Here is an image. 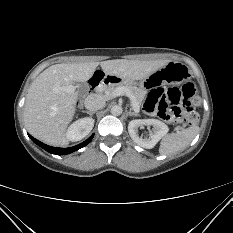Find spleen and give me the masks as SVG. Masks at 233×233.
Listing matches in <instances>:
<instances>
[{
  "instance_id": "obj_1",
  "label": "spleen",
  "mask_w": 233,
  "mask_h": 233,
  "mask_svg": "<svg viewBox=\"0 0 233 233\" xmlns=\"http://www.w3.org/2000/svg\"><path fill=\"white\" fill-rule=\"evenodd\" d=\"M198 132L199 127L191 126L176 133L166 135L160 143L159 153L169 155L183 151L192 142Z\"/></svg>"
}]
</instances>
